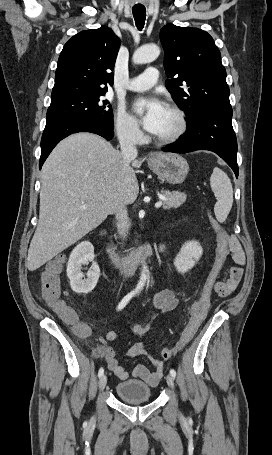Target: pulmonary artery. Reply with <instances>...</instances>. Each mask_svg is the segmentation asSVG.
<instances>
[{
  "label": "pulmonary artery",
  "instance_id": "e3ab8cb5",
  "mask_svg": "<svg viewBox=\"0 0 272 455\" xmlns=\"http://www.w3.org/2000/svg\"><path fill=\"white\" fill-rule=\"evenodd\" d=\"M158 80V70L155 67L147 68L141 75L130 79L126 88L131 91H144L150 89Z\"/></svg>",
  "mask_w": 272,
  "mask_h": 455
}]
</instances>
